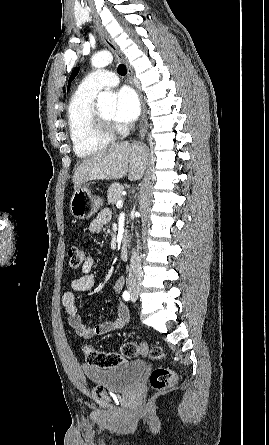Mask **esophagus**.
Returning a JSON list of instances; mask_svg holds the SVG:
<instances>
[{
    "instance_id": "esophagus-1",
    "label": "esophagus",
    "mask_w": 269,
    "mask_h": 445,
    "mask_svg": "<svg viewBox=\"0 0 269 445\" xmlns=\"http://www.w3.org/2000/svg\"><path fill=\"white\" fill-rule=\"evenodd\" d=\"M94 24H95V27H96L98 33L102 37L103 41L109 47V49L113 52V54L115 55L116 59L119 62H123L125 64L126 69H127L128 79H129L130 83L135 87V89H136V91H137V93H138V95L140 97V100H141V120H140V128H139V138L140 139H144V137L146 135V132H147V129H148V119H147V114H146V107H145V103H144V100H143V95L141 93L140 87L134 81L132 68H131L128 60L126 59V57L124 56V54L122 53L120 48L118 47V45L107 34V32L102 28V26L99 24V22L98 21H94Z\"/></svg>"
}]
</instances>
